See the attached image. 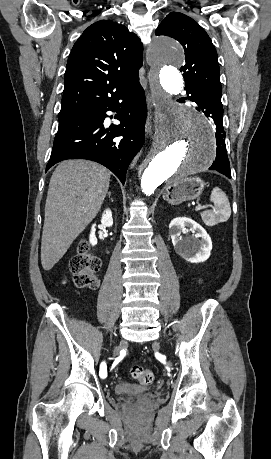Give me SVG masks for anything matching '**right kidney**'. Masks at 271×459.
Segmentation results:
<instances>
[{"label": "right kidney", "mask_w": 271, "mask_h": 459, "mask_svg": "<svg viewBox=\"0 0 271 459\" xmlns=\"http://www.w3.org/2000/svg\"><path fill=\"white\" fill-rule=\"evenodd\" d=\"M102 226H106V228H110V226H113V218H112V212L111 210H105L102 220H101ZM95 224L91 228V233L89 235V241L91 245H96L97 243V237L95 235Z\"/></svg>", "instance_id": "right-kidney-1"}]
</instances>
